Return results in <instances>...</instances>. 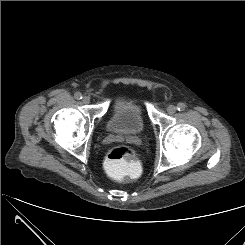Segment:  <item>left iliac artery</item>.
<instances>
[{
    "label": "left iliac artery",
    "instance_id": "obj_1",
    "mask_svg": "<svg viewBox=\"0 0 245 245\" xmlns=\"http://www.w3.org/2000/svg\"><path fill=\"white\" fill-rule=\"evenodd\" d=\"M185 108H186V105H185L184 103H179V104L177 105L178 111H184Z\"/></svg>",
    "mask_w": 245,
    "mask_h": 245
}]
</instances>
